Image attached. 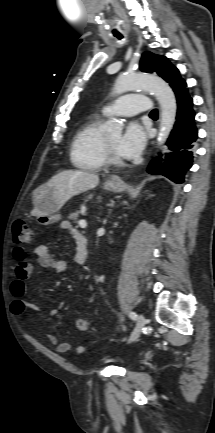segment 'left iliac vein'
Instances as JSON below:
<instances>
[{
  "mask_svg": "<svg viewBox=\"0 0 215 433\" xmlns=\"http://www.w3.org/2000/svg\"><path fill=\"white\" fill-rule=\"evenodd\" d=\"M146 324L145 318L142 314H139L137 317V322H136V327L133 331V333L131 334V337L129 339V342H132L134 340H136L139 335L141 334L142 329L144 328Z\"/></svg>",
  "mask_w": 215,
  "mask_h": 433,
  "instance_id": "left-iliac-vein-1",
  "label": "left iliac vein"
}]
</instances>
